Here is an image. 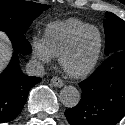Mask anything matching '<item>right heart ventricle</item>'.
Listing matches in <instances>:
<instances>
[{"mask_svg": "<svg viewBox=\"0 0 125 125\" xmlns=\"http://www.w3.org/2000/svg\"><path fill=\"white\" fill-rule=\"evenodd\" d=\"M89 25L77 18L53 21L47 24L43 38L51 53L57 57L70 38Z\"/></svg>", "mask_w": 125, "mask_h": 125, "instance_id": "1", "label": "right heart ventricle"}]
</instances>
